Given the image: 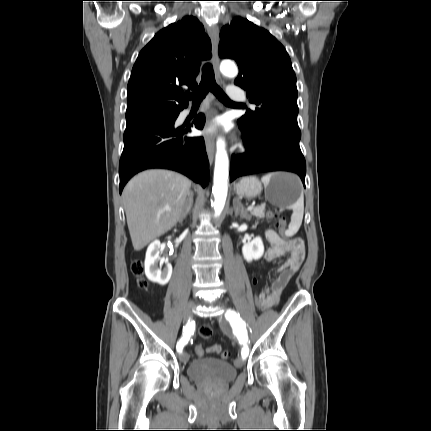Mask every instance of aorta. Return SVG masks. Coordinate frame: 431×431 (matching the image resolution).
<instances>
[{"instance_id":"obj_1","label":"aorta","mask_w":431,"mask_h":431,"mask_svg":"<svg viewBox=\"0 0 431 431\" xmlns=\"http://www.w3.org/2000/svg\"><path fill=\"white\" fill-rule=\"evenodd\" d=\"M220 71L223 75L234 77L238 70L236 65L231 61H223L220 65ZM229 176V159L225 150V142L222 139L217 141V152L215 158L214 181L212 193L214 195V215L220 216L222 213L228 192Z\"/></svg>"}]
</instances>
